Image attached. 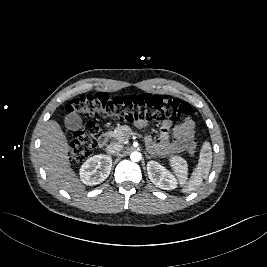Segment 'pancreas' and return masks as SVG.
<instances>
[{
    "label": "pancreas",
    "instance_id": "cf45deb5",
    "mask_svg": "<svg viewBox=\"0 0 267 267\" xmlns=\"http://www.w3.org/2000/svg\"><path fill=\"white\" fill-rule=\"evenodd\" d=\"M133 134L131 128L128 125H122L115 128L113 131H109L108 135L118 142H124Z\"/></svg>",
    "mask_w": 267,
    "mask_h": 267
}]
</instances>
